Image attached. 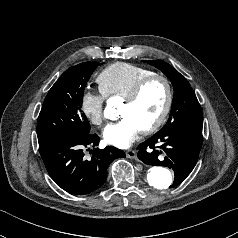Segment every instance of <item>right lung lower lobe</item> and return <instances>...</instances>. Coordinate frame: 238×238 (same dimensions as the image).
I'll return each instance as SVG.
<instances>
[{
  "mask_svg": "<svg viewBox=\"0 0 238 238\" xmlns=\"http://www.w3.org/2000/svg\"><path fill=\"white\" fill-rule=\"evenodd\" d=\"M97 134L56 141L39 148L50 177L63 190L74 195H86L100 189L107 179L108 165L125 153L112 146L96 148ZM93 147L92 158L84 159V148ZM89 150V149H87Z\"/></svg>",
  "mask_w": 238,
  "mask_h": 238,
  "instance_id": "1",
  "label": "right lung lower lobe"
}]
</instances>
